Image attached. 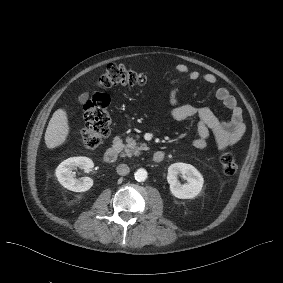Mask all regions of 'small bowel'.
<instances>
[{
    "label": "small bowel",
    "instance_id": "c3829d8e",
    "mask_svg": "<svg viewBox=\"0 0 283 283\" xmlns=\"http://www.w3.org/2000/svg\"><path fill=\"white\" fill-rule=\"evenodd\" d=\"M175 70L192 81L201 80L209 85L213 95L223 103L230 115L228 120H221L208 107L190 104L179 105L178 94L180 87H173L169 93V102L173 106L171 118L175 121H183L192 117L198 119L197 137L192 142L193 146L198 149L205 148L211 134L215 136L220 150L235 145L244 135L246 126L242 111L229 89L217 86L215 75L210 73L202 74L185 64H177Z\"/></svg>",
    "mask_w": 283,
    "mask_h": 283
}]
</instances>
